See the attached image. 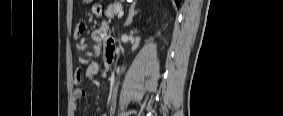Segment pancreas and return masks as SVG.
Here are the masks:
<instances>
[{
  "mask_svg": "<svg viewBox=\"0 0 283 116\" xmlns=\"http://www.w3.org/2000/svg\"><path fill=\"white\" fill-rule=\"evenodd\" d=\"M120 4L118 2H115L114 4H111L108 6V8L105 10V16L109 19H113L114 16L117 14L118 10H120Z\"/></svg>",
  "mask_w": 283,
  "mask_h": 116,
  "instance_id": "pancreas-1",
  "label": "pancreas"
}]
</instances>
